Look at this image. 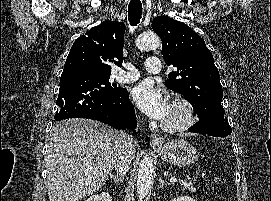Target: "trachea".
Listing matches in <instances>:
<instances>
[{"label":"trachea","mask_w":271,"mask_h":201,"mask_svg":"<svg viewBox=\"0 0 271 201\" xmlns=\"http://www.w3.org/2000/svg\"><path fill=\"white\" fill-rule=\"evenodd\" d=\"M142 16V3L140 0H130L128 5V18L132 26L140 22Z\"/></svg>","instance_id":"obj_1"}]
</instances>
